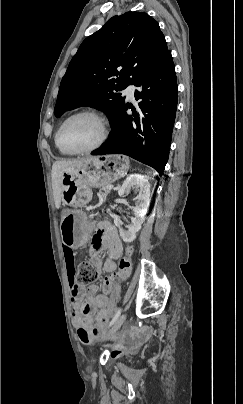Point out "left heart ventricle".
<instances>
[{"label":"left heart ventricle","instance_id":"left-heart-ventricle-1","mask_svg":"<svg viewBox=\"0 0 243 404\" xmlns=\"http://www.w3.org/2000/svg\"><path fill=\"white\" fill-rule=\"evenodd\" d=\"M102 134L100 121L91 115H80L69 120L62 129L64 146L85 149L96 144Z\"/></svg>","mask_w":243,"mask_h":404}]
</instances>
